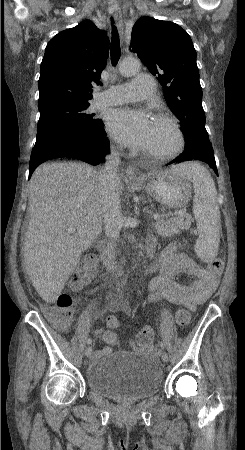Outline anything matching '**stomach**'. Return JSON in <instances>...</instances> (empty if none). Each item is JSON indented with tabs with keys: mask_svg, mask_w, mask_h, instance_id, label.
Listing matches in <instances>:
<instances>
[{
	"mask_svg": "<svg viewBox=\"0 0 245 450\" xmlns=\"http://www.w3.org/2000/svg\"><path fill=\"white\" fill-rule=\"evenodd\" d=\"M144 188L149 195L169 209L185 206L192 196L191 184L180 174L178 166L152 172Z\"/></svg>",
	"mask_w": 245,
	"mask_h": 450,
	"instance_id": "0dacf381",
	"label": "stomach"
}]
</instances>
